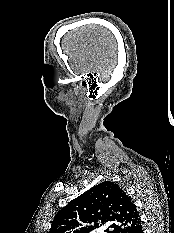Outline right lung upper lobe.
<instances>
[{"label":"right lung upper lobe","mask_w":174,"mask_h":233,"mask_svg":"<svg viewBox=\"0 0 174 233\" xmlns=\"http://www.w3.org/2000/svg\"><path fill=\"white\" fill-rule=\"evenodd\" d=\"M111 224L107 233H134L141 219L131 198L105 181L70 201L55 216L49 233H90Z\"/></svg>","instance_id":"right-lung-upper-lobe-1"}]
</instances>
